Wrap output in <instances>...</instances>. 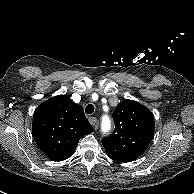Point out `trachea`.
I'll return each instance as SVG.
<instances>
[{
	"instance_id": "trachea-1",
	"label": "trachea",
	"mask_w": 194,
	"mask_h": 194,
	"mask_svg": "<svg viewBox=\"0 0 194 194\" xmlns=\"http://www.w3.org/2000/svg\"><path fill=\"white\" fill-rule=\"evenodd\" d=\"M85 112L87 113V114H92L93 112H94V105H92V104H88L87 106H86V108H85Z\"/></svg>"
}]
</instances>
